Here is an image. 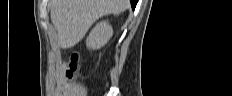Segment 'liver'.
Here are the masks:
<instances>
[{"mask_svg":"<svg viewBox=\"0 0 232 96\" xmlns=\"http://www.w3.org/2000/svg\"><path fill=\"white\" fill-rule=\"evenodd\" d=\"M129 6V0H52L50 16L58 45L63 49L73 47L100 17L122 13Z\"/></svg>","mask_w":232,"mask_h":96,"instance_id":"liver-1","label":"liver"}]
</instances>
